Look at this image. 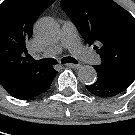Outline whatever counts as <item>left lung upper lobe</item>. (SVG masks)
<instances>
[{
	"instance_id": "1",
	"label": "left lung upper lobe",
	"mask_w": 135,
	"mask_h": 135,
	"mask_svg": "<svg viewBox=\"0 0 135 135\" xmlns=\"http://www.w3.org/2000/svg\"><path fill=\"white\" fill-rule=\"evenodd\" d=\"M84 40L100 55L94 66L119 80H135V18L113 0H61Z\"/></svg>"
}]
</instances>
